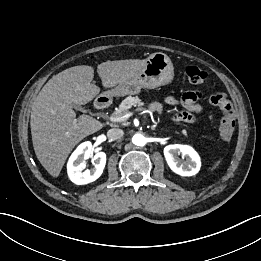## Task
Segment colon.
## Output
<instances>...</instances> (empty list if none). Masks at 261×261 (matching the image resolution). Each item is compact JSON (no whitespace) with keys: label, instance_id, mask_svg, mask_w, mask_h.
I'll return each instance as SVG.
<instances>
[{"label":"colon","instance_id":"obj_1","mask_svg":"<svg viewBox=\"0 0 261 261\" xmlns=\"http://www.w3.org/2000/svg\"><path fill=\"white\" fill-rule=\"evenodd\" d=\"M186 76L190 83L201 84L207 78V73L197 66H188ZM211 104L219 107L222 118L219 125V135L223 142L231 140L235 128V112L232 103L222 92H213L208 96Z\"/></svg>","mask_w":261,"mask_h":261}]
</instances>
